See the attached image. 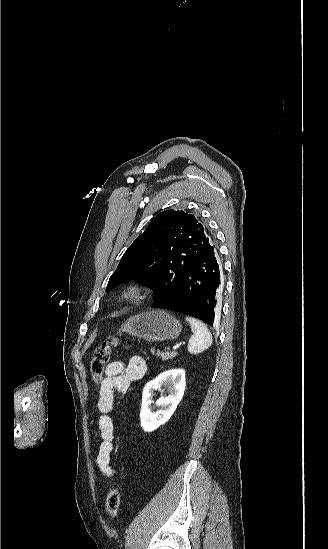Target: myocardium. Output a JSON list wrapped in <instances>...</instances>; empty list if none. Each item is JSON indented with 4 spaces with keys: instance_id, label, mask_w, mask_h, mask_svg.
<instances>
[{
    "instance_id": "obj_1",
    "label": "myocardium",
    "mask_w": 328,
    "mask_h": 549,
    "mask_svg": "<svg viewBox=\"0 0 328 549\" xmlns=\"http://www.w3.org/2000/svg\"><path fill=\"white\" fill-rule=\"evenodd\" d=\"M147 294L146 286L138 281L125 284L117 293L116 299L121 302H135L143 299Z\"/></svg>"
}]
</instances>
